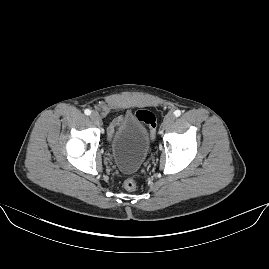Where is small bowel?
I'll return each instance as SVG.
<instances>
[{
  "mask_svg": "<svg viewBox=\"0 0 269 269\" xmlns=\"http://www.w3.org/2000/svg\"><path fill=\"white\" fill-rule=\"evenodd\" d=\"M120 119H117L116 121H114L112 127H111V131H113L115 129V127L119 124Z\"/></svg>",
  "mask_w": 269,
  "mask_h": 269,
  "instance_id": "c3829d8e",
  "label": "small bowel"
}]
</instances>
